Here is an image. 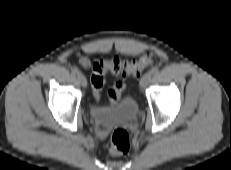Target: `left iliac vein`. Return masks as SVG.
Listing matches in <instances>:
<instances>
[{
	"label": "left iliac vein",
	"mask_w": 231,
	"mask_h": 170,
	"mask_svg": "<svg viewBox=\"0 0 231 170\" xmlns=\"http://www.w3.org/2000/svg\"><path fill=\"white\" fill-rule=\"evenodd\" d=\"M152 75L151 73H146L140 80V87L145 88L151 81Z\"/></svg>",
	"instance_id": "obj_1"
}]
</instances>
